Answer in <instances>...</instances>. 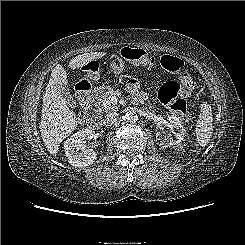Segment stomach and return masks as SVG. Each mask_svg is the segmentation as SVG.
Listing matches in <instances>:
<instances>
[{
	"label": "stomach",
	"instance_id": "stomach-1",
	"mask_svg": "<svg viewBox=\"0 0 245 245\" xmlns=\"http://www.w3.org/2000/svg\"><path fill=\"white\" fill-rule=\"evenodd\" d=\"M88 64L87 63L86 65H84V69L85 71L87 72L86 73V76H85V79L88 81V82H91V81H95L97 80V72L96 71H93L92 69H90L88 67ZM111 66L112 68L114 69V72L115 74H119L123 71V68H124V60L122 57H115L112 61H111Z\"/></svg>",
	"mask_w": 245,
	"mask_h": 245
}]
</instances>
